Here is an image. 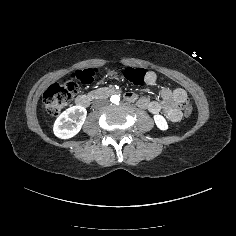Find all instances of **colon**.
<instances>
[{
    "label": "colon",
    "instance_id": "5ec220e1",
    "mask_svg": "<svg viewBox=\"0 0 236 236\" xmlns=\"http://www.w3.org/2000/svg\"><path fill=\"white\" fill-rule=\"evenodd\" d=\"M96 73V69L76 70L66 83L52 84L44 93V104L48 113L54 116L60 114L75 96L79 85L92 83ZM124 75L135 85L142 84L145 78L150 77H147L143 68L132 67L127 68ZM153 80L156 81L155 76H153ZM183 108L184 116L189 117L192 113V106L187 100L184 102Z\"/></svg>",
    "mask_w": 236,
    "mask_h": 236
}]
</instances>
